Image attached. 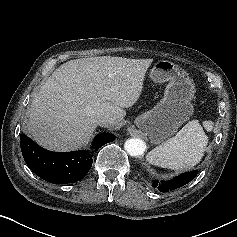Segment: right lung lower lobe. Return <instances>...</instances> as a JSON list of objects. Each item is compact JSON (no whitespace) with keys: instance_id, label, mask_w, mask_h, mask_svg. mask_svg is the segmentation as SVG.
<instances>
[{"instance_id":"98d812e1","label":"right lung lower lobe","mask_w":237,"mask_h":237,"mask_svg":"<svg viewBox=\"0 0 237 237\" xmlns=\"http://www.w3.org/2000/svg\"><path fill=\"white\" fill-rule=\"evenodd\" d=\"M115 136L102 133L94 138L93 148L97 151L112 142ZM21 151L28 167L40 178L54 184L73 183L82 179L90 170L93 159L86 151L52 152L37 145L26 135L20 136Z\"/></svg>"}]
</instances>
